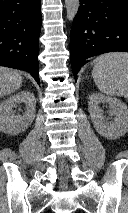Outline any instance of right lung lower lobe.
<instances>
[{"label": "right lung lower lobe", "instance_id": "98d812e1", "mask_svg": "<svg viewBox=\"0 0 128 213\" xmlns=\"http://www.w3.org/2000/svg\"><path fill=\"white\" fill-rule=\"evenodd\" d=\"M40 0H0V65L38 74Z\"/></svg>", "mask_w": 128, "mask_h": 213}]
</instances>
